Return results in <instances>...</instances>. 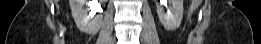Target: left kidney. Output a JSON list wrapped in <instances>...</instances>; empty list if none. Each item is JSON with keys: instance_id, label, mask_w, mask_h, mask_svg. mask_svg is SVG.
Returning a JSON list of instances; mask_svg holds the SVG:
<instances>
[{"instance_id": "5707ae66", "label": "left kidney", "mask_w": 261, "mask_h": 44, "mask_svg": "<svg viewBox=\"0 0 261 44\" xmlns=\"http://www.w3.org/2000/svg\"><path fill=\"white\" fill-rule=\"evenodd\" d=\"M161 4L166 3V0H160ZM172 6L167 12L164 11L163 7L157 6V14L160 22L164 28L168 31L176 30L183 18V0H172Z\"/></svg>"}]
</instances>
